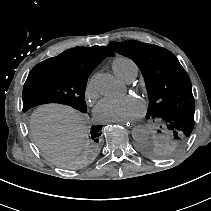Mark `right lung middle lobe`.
I'll list each match as a JSON object with an SVG mask.
<instances>
[{
	"label": "right lung middle lobe",
	"instance_id": "obj_1",
	"mask_svg": "<svg viewBox=\"0 0 211 211\" xmlns=\"http://www.w3.org/2000/svg\"><path fill=\"white\" fill-rule=\"evenodd\" d=\"M92 69L71 64L43 61L29 73L23 88V111L46 103L69 105L86 112L84 98L88 76ZM102 126H92L94 146L99 142Z\"/></svg>",
	"mask_w": 211,
	"mask_h": 211
}]
</instances>
